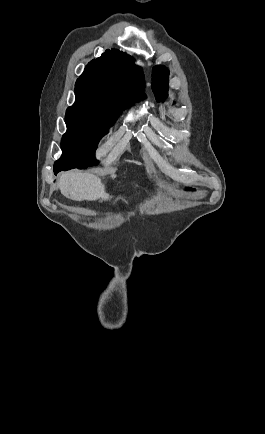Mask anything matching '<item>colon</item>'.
Here are the masks:
<instances>
[{
  "label": "colon",
  "instance_id": "obj_1",
  "mask_svg": "<svg viewBox=\"0 0 265 434\" xmlns=\"http://www.w3.org/2000/svg\"><path fill=\"white\" fill-rule=\"evenodd\" d=\"M183 191L185 193H194L196 191V186L194 184H185L183 186ZM193 200L194 201H199L200 200V195L199 194H194L193 195Z\"/></svg>",
  "mask_w": 265,
  "mask_h": 434
}]
</instances>
